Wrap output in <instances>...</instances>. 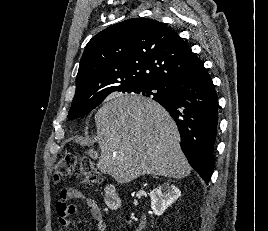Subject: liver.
I'll list each match as a JSON object with an SVG mask.
<instances>
[{"label":"liver","mask_w":268,"mask_h":231,"mask_svg":"<svg viewBox=\"0 0 268 231\" xmlns=\"http://www.w3.org/2000/svg\"><path fill=\"white\" fill-rule=\"evenodd\" d=\"M101 156L97 168L118 183L141 175L181 179L191 167L183 154L177 126L157 102L140 95H119L95 115Z\"/></svg>","instance_id":"obj_1"}]
</instances>
